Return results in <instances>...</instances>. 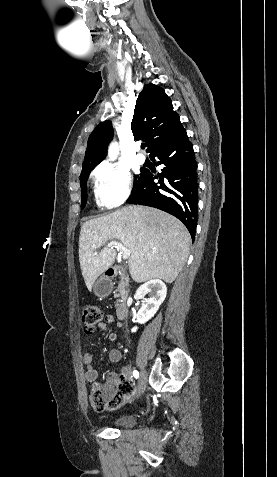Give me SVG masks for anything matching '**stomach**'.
I'll list each match as a JSON object with an SVG mask.
<instances>
[{
	"instance_id": "stomach-1",
	"label": "stomach",
	"mask_w": 277,
	"mask_h": 477,
	"mask_svg": "<svg viewBox=\"0 0 277 477\" xmlns=\"http://www.w3.org/2000/svg\"><path fill=\"white\" fill-rule=\"evenodd\" d=\"M113 289L111 280L105 276L100 277L94 282L93 292L98 297L108 296Z\"/></svg>"
}]
</instances>
